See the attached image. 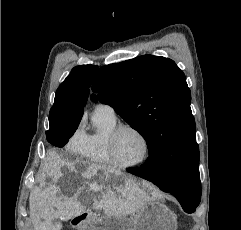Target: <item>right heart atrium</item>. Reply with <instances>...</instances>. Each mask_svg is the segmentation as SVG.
Listing matches in <instances>:
<instances>
[{"instance_id": "d8ad5b80", "label": "right heart atrium", "mask_w": 241, "mask_h": 230, "mask_svg": "<svg viewBox=\"0 0 241 230\" xmlns=\"http://www.w3.org/2000/svg\"><path fill=\"white\" fill-rule=\"evenodd\" d=\"M86 135L82 131L81 128L75 130L70 139L67 142V148L72 152H80L83 148L85 142Z\"/></svg>"}]
</instances>
